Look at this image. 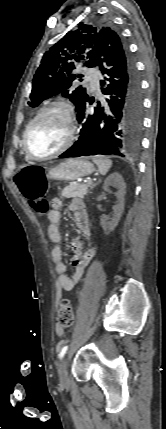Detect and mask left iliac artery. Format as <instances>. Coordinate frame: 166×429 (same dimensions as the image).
I'll list each match as a JSON object with an SVG mask.
<instances>
[{"label":"left iliac artery","mask_w":166,"mask_h":429,"mask_svg":"<svg viewBox=\"0 0 166 429\" xmlns=\"http://www.w3.org/2000/svg\"><path fill=\"white\" fill-rule=\"evenodd\" d=\"M67 349H68V346H67V345H66V346H64V347L61 349L60 354H59V358H60V360H61V359L63 358V356L65 355V353H66Z\"/></svg>","instance_id":"obj_1"}]
</instances>
